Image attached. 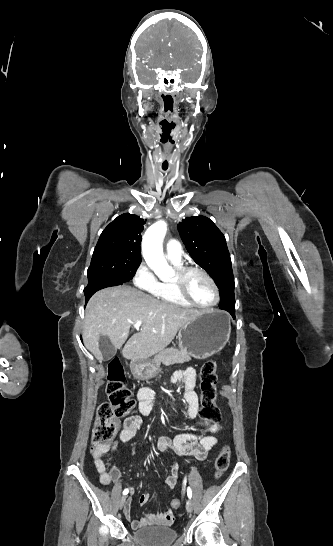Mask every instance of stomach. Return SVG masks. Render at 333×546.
<instances>
[{
	"label": "stomach",
	"mask_w": 333,
	"mask_h": 546,
	"mask_svg": "<svg viewBox=\"0 0 333 546\" xmlns=\"http://www.w3.org/2000/svg\"><path fill=\"white\" fill-rule=\"evenodd\" d=\"M230 333V318L220 310H208L181 327L177 339L182 351L195 359H206L223 349ZM130 369L141 380L153 378L161 371L160 365L150 360H132Z\"/></svg>",
	"instance_id": "0dacf381"
}]
</instances>
